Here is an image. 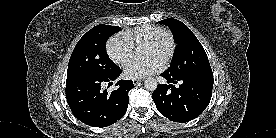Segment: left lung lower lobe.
<instances>
[{"label":"left lung lower lobe","mask_w":276,"mask_h":138,"mask_svg":"<svg viewBox=\"0 0 276 138\" xmlns=\"http://www.w3.org/2000/svg\"><path fill=\"white\" fill-rule=\"evenodd\" d=\"M161 76L167 80V84L159 85L152 98L163 116L184 123L198 117L208 106L212 96L213 75L176 78L165 71Z\"/></svg>","instance_id":"left-lung-lower-lobe-1"}]
</instances>
